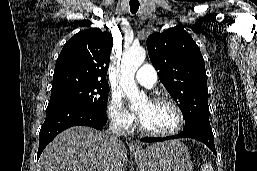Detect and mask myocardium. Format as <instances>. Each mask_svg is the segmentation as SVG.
Masks as SVG:
<instances>
[{
	"label": "myocardium",
	"instance_id": "obj_1",
	"mask_svg": "<svg viewBox=\"0 0 257 171\" xmlns=\"http://www.w3.org/2000/svg\"><path fill=\"white\" fill-rule=\"evenodd\" d=\"M151 102H153V103L164 102V103L170 104L177 114V124L175 125L174 128H172L168 131H162V132L154 131V130H150V129L146 128L142 124V122L138 116V118H137L138 129L142 133H144L146 135L154 136V137H170V136H173V135L177 134L178 132H180L184 126L185 118H184L183 111L180 108V106L178 105V103L173 98H171L169 96H165V95L155 96L151 99Z\"/></svg>",
	"mask_w": 257,
	"mask_h": 171
}]
</instances>
